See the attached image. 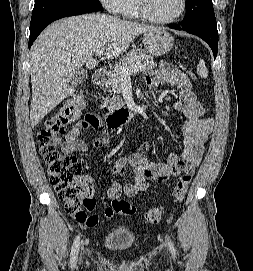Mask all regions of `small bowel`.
<instances>
[{
    "instance_id": "1",
    "label": "small bowel",
    "mask_w": 253,
    "mask_h": 271,
    "mask_svg": "<svg viewBox=\"0 0 253 271\" xmlns=\"http://www.w3.org/2000/svg\"><path fill=\"white\" fill-rule=\"evenodd\" d=\"M148 85L160 83L169 84L179 88V101L173 104L175 111L180 112L186 123L183 129V153L182 157L171 154L166 163H154L146 157L149 152V143L140 145L137 152L115 162L113 173L124 176L128 169L132 171V180L121 185L118 180H112L107 191V197L111 200L119 198L122 194L134 197L148 188L150 181L163 182L170 177L191 174L202 160L203 151L213 129V120L204 117V108L195 97L189 76L179 69L163 62L159 70L148 73L146 76ZM111 127L106 126L99 119L79 121L66 135L62 146L64 152L72 154L88 151V145L82 140L83 130H101L102 136L92 142L94 148L105 146L108 143V134ZM83 180L91 185L90 178ZM114 212L111 207H106L100 215L94 214L96 222L99 218H111Z\"/></svg>"
}]
</instances>
